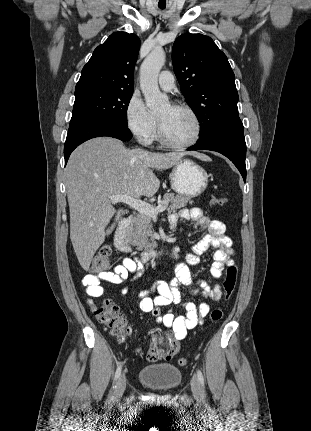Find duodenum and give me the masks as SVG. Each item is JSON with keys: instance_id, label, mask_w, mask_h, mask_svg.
Returning <instances> with one entry per match:
<instances>
[{"instance_id": "410a0bca", "label": "duodenum", "mask_w": 311, "mask_h": 431, "mask_svg": "<svg viewBox=\"0 0 311 431\" xmlns=\"http://www.w3.org/2000/svg\"><path fill=\"white\" fill-rule=\"evenodd\" d=\"M132 217L127 216L121 219L118 228L114 234V245L115 247L124 253H129L132 251V247L126 240V233L131 225ZM165 254L164 249H150L141 253V258L143 261H148L150 259L160 258Z\"/></svg>"}]
</instances>
